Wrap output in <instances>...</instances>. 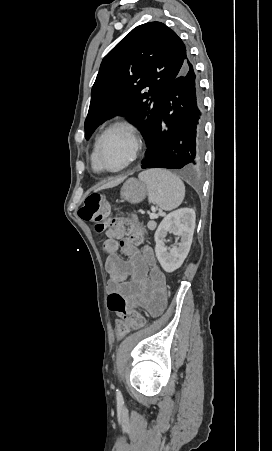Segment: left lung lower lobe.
<instances>
[{
    "instance_id": "1",
    "label": "left lung lower lobe",
    "mask_w": 272,
    "mask_h": 451,
    "mask_svg": "<svg viewBox=\"0 0 272 451\" xmlns=\"http://www.w3.org/2000/svg\"><path fill=\"white\" fill-rule=\"evenodd\" d=\"M202 105L197 77L186 57L161 103L142 168L193 170L202 163Z\"/></svg>"
}]
</instances>
